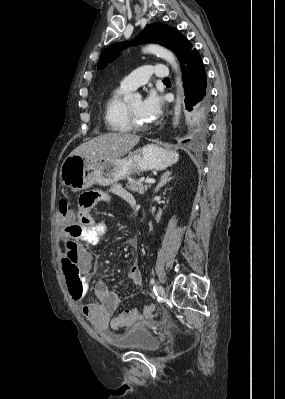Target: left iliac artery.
<instances>
[{"label":"left iliac artery","mask_w":285,"mask_h":399,"mask_svg":"<svg viewBox=\"0 0 285 399\" xmlns=\"http://www.w3.org/2000/svg\"><path fill=\"white\" fill-rule=\"evenodd\" d=\"M150 282H151L152 285H154L155 284V279L152 278Z\"/></svg>","instance_id":"1"}]
</instances>
